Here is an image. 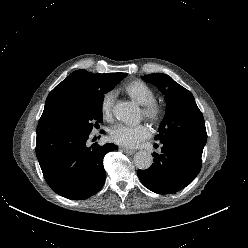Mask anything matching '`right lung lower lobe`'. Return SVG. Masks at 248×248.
I'll return each mask as SVG.
<instances>
[{"label": "right lung lower lobe", "instance_id": "98d812e1", "mask_svg": "<svg viewBox=\"0 0 248 248\" xmlns=\"http://www.w3.org/2000/svg\"><path fill=\"white\" fill-rule=\"evenodd\" d=\"M90 132L49 129L37 133L36 155L48 185L57 194L82 200L97 193L105 183L103 158L117 146H88Z\"/></svg>", "mask_w": 248, "mask_h": 248}]
</instances>
